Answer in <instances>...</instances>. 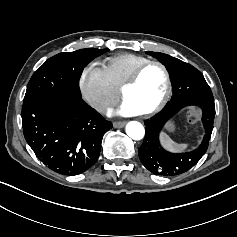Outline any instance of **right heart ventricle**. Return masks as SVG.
Instances as JSON below:
<instances>
[{
    "instance_id": "1",
    "label": "right heart ventricle",
    "mask_w": 237,
    "mask_h": 237,
    "mask_svg": "<svg viewBox=\"0 0 237 237\" xmlns=\"http://www.w3.org/2000/svg\"><path fill=\"white\" fill-rule=\"evenodd\" d=\"M148 61L150 60L144 56L123 53L106 58L104 69L112 85L120 89L132 74Z\"/></svg>"
}]
</instances>
